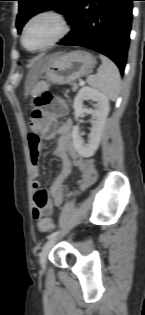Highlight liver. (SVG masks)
<instances>
[{"mask_svg": "<svg viewBox=\"0 0 145 315\" xmlns=\"http://www.w3.org/2000/svg\"><path fill=\"white\" fill-rule=\"evenodd\" d=\"M49 58L50 56L39 59L32 67V69L29 71L25 84L26 94L30 92V90L33 88L34 84L37 82L38 78L40 77L44 69L49 65L50 63Z\"/></svg>", "mask_w": 145, "mask_h": 315, "instance_id": "1", "label": "liver"}]
</instances>
